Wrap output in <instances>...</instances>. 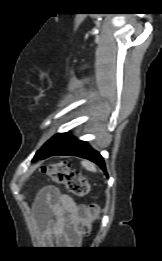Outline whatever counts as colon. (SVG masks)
Instances as JSON below:
<instances>
[{
  "mask_svg": "<svg viewBox=\"0 0 162 261\" xmlns=\"http://www.w3.org/2000/svg\"><path fill=\"white\" fill-rule=\"evenodd\" d=\"M48 172L55 183L64 185L66 191L76 197H85L90 192V185L82 173L70 169L65 161L52 165ZM97 216L98 207L96 205L86 207L84 215L75 227L77 235L88 236L91 230V220Z\"/></svg>",
  "mask_w": 162,
  "mask_h": 261,
  "instance_id": "1",
  "label": "colon"
}]
</instances>
